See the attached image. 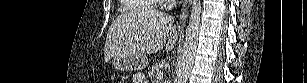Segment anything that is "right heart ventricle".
<instances>
[{"label": "right heart ventricle", "mask_w": 307, "mask_h": 83, "mask_svg": "<svg viewBox=\"0 0 307 83\" xmlns=\"http://www.w3.org/2000/svg\"><path fill=\"white\" fill-rule=\"evenodd\" d=\"M124 8L129 12H140L155 8L153 1L144 0H125Z\"/></svg>", "instance_id": "e07e8e85"}]
</instances>
